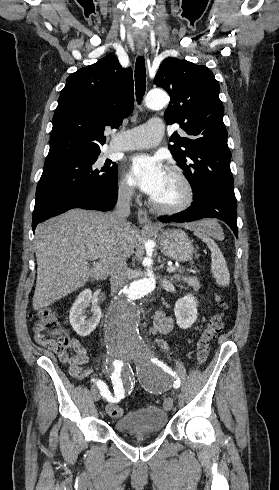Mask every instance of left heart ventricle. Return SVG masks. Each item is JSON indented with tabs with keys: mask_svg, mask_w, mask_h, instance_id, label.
<instances>
[{
	"mask_svg": "<svg viewBox=\"0 0 279 490\" xmlns=\"http://www.w3.org/2000/svg\"><path fill=\"white\" fill-rule=\"evenodd\" d=\"M183 187L180 182L168 172L167 183L163 194L156 199L157 201L165 204H173L179 201L183 197Z\"/></svg>",
	"mask_w": 279,
	"mask_h": 490,
	"instance_id": "obj_1",
	"label": "left heart ventricle"
}]
</instances>
